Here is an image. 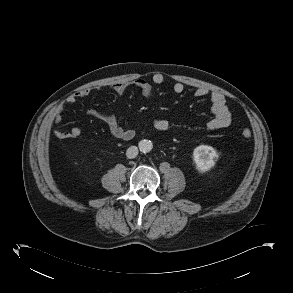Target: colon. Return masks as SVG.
Here are the masks:
<instances>
[{"label":"colon","mask_w":293,"mask_h":293,"mask_svg":"<svg viewBox=\"0 0 293 293\" xmlns=\"http://www.w3.org/2000/svg\"><path fill=\"white\" fill-rule=\"evenodd\" d=\"M251 131L249 130V129H244L243 131H242V136H243V138L244 139H249V138H251Z\"/></svg>","instance_id":"obj_1"}]
</instances>
